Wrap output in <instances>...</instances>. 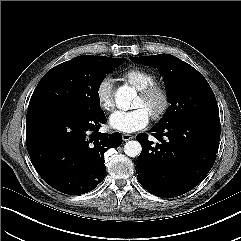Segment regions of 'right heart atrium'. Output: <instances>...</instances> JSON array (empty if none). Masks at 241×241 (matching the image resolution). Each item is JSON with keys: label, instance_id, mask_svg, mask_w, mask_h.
Masks as SVG:
<instances>
[{"label": "right heart atrium", "instance_id": "right-heart-atrium-1", "mask_svg": "<svg viewBox=\"0 0 241 241\" xmlns=\"http://www.w3.org/2000/svg\"><path fill=\"white\" fill-rule=\"evenodd\" d=\"M95 96L101 109L112 111L114 109L113 83L111 78L104 77L98 83Z\"/></svg>", "mask_w": 241, "mask_h": 241}]
</instances>
